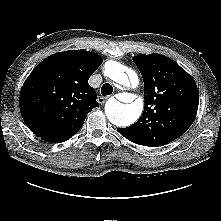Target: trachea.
I'll use <instances>...</instances> for the list:
<instances>
[{
  "instance_id": "trachea-1",
  "label": "trachea",
  "mask_w": 221,
  "mask_h": 221,
  "mask_svg": "<svg viewBox=\"0 0 221 221\" xmlns=\"http://www.w3.org/2000/svg\"><path fill=\"white\" fill-rule=\"evenodd\" d=\"M113 92V87L109 83H105L101 88V94L103 96L110 95Z\"/></svg>"
}]
</instances>
